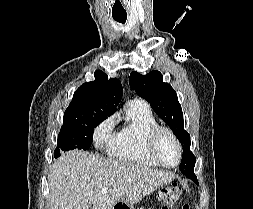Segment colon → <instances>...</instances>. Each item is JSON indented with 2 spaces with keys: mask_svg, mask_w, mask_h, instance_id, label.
Here are the masks:
<instances>
[{
  "mask_svg": "<svg viewBox=\"0 0 253 209\" xmlns=\"http://www.w3.org/2000/svg\"><path fill=\"white\" fill-rule=\"evenodd\" d=\"M182 189L181 187L174 183L170 187H167L163 191L164 200L167 203H174L176 200H178L181 197ZM163 209H168L167 207H164ZM181 209H189V206L187 204H183Z\"/></svg>",
  "mask_w": 253,
  "mask_h": 209,
  "instance_id": "5ec220e1",
  "label": "colon"
}]
</instances>
